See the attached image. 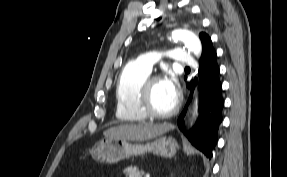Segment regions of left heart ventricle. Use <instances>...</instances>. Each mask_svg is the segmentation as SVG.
I'll list each match as a JSON object with an SVG mask.
<instances>
[{"label":"left heart ventricle","mask_w":287,"mask_h":177,"mask_svg":"<svg viewBox=\"0 0 287 177\" xmlns=\"http://www.w3.org/2000/svg\"><path fill=\"white\" fill-rule=\"evenodd\" d=\"M176 97L177 95H174L162 80L156 82L152 87L151 104L157 112L169 111L174 106Z\"/></svg>","instance_id":"obj_1"}]
</instances>
